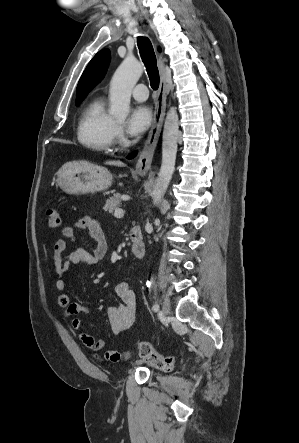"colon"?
<instances>
[{"instance_id":"colon-1","label":"colon","mask_w":299,"mask_h":443,"mask_svg":"<svg viewBox=\"0 0 299 443\" xmlns=\"http://www.w3.org/2000/svg\"><path fill=\"white\" fill-rule=\"evenodd\" d=\"M61 217L57 209L49 208L46 211V225L50 229L57 228L60 225ZM139 355L152 367L161 371H170L174 366L172 358L160 355L150 343L141 341L138 343Z\"/></svg>"}]
</instances>
